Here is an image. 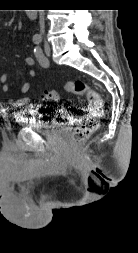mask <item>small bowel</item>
<instances>
[{
	"label": "small bowel",
	"mask_w": 138,
	"mask_h": 253,
	"mask_svg": "<svg viewBox=\"0 0 138 253\" xmlns=\"http://www.w3.org/2000/svg\"><path fill=\"white\" fill-rule=\"evenodd\" d=\"M25 63L28 66H33L34 63H35V61H34V59L32 57H27L25 59ZM28 76H29V80L26 81L22 85L21 90H20V92H21L22 95H25L29 91V89L31 87V80L36 76V71L33 70V69H31L29 71V73H28ZM0 83L2 84V90L4 92H8L9 89H10V87H9L8 82H7V75L5 73H3V72H0ZM10 102L15 107H24V106L29 105L30 100H29L28 97L22 96V97H20L18 99H11Z\"/></svg>",
	"instance_id": "obj_1"
}]
</instances>
